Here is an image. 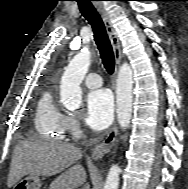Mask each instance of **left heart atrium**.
I'll list each match as a JSON object with an SVG mask.
<instances>
[{
    "mask_svg": "<svg viewBox=\"0 0 188 189\" xmlns=\"http://www.w3.org/2000/svg\"><path fill=\"white\" fill-rule=\"evenodd\" d=\"M114 114V100L107 89H98L88 94L86 100V123L100 131L110 125Z\"/></svg>",
    "mask_w": 188,
    "mask_h": 189,
    "instance_id": "left-heart-atrium-1",
    "label": "left heart atrium"
}]
</instances>
